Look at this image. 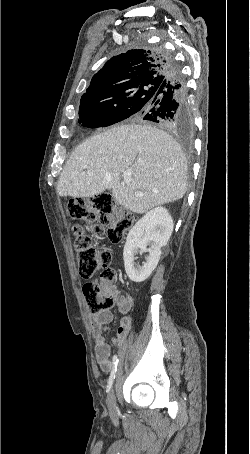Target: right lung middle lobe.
<instances>
[{
  "instance_id": "dd1d6c3e",
  "label": "right lung middle lobe",
  "mask_w": 250,
  "mask_h": 454,
  "mask_svg": "<svg viewBox=\"0 0 250 454\" xmlns=\"http://www.w3.org/2000/svg\"><path fill=\"white\" fill-rule=\"evenodd\" d=\"M159 87L160 84L148 83L115 100L80 105L79 123L84 127L98 128L138 116L151 104Z\"/></svg>"
}]
</instances>
